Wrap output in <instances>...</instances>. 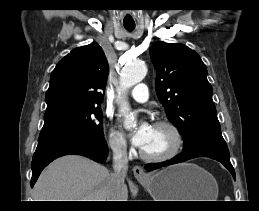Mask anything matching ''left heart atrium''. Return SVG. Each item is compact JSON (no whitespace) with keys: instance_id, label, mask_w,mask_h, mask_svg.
Wrapping results in <instances>:
<instances>
[{"instance_id":"left-heart-atrium-1","label":"left heart atrium","mask_w":259,"mask_h":211,"mask_svg":"<svg viewBox=\"0 0 259 211\" xmlns=\"http://www.w3.org/2000/svg\"><path fill=\"white\" fill-rule=\"evenodd\" d=\"M152 126L146 121L141 122L131 134L132 143L142 148L151 134Z\"/></svg>"}]
</instances>
